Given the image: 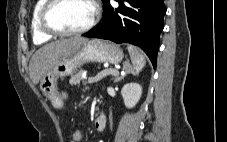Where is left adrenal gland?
<instances>
[{
  "label": "left adrenal gland",
  "instance_id": "1",
  "mask_svg": "<svg viewBox=\"0 0 227 142\" xmlns=\"http://www.w3.org/2000/svg\"><path fill=\"white\" fill-rule=\"evenodd\" d=\"M123 70L125 71V73L119 77H116L114 79V83H117V82L121 81L122 79H124L127 74L133 73L127 62L123 63Z\"/></svg>",
  "mask_w": 227,
  "mask_h": 142
}]
</instances>
